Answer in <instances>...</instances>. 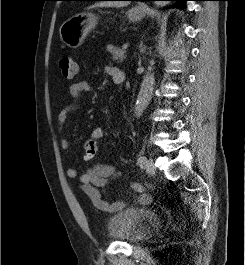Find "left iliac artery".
I'll list each match as a JSON object with an SVG mask.
<instances>
[{
	"label": "left iliac artery",
	"instance_id": "obj_1",
	"mask_svg": "<svg viewBox=\"0 0 245 265\" xmlns=\"http://www.w3.org/2000/svg\"><path fill=\"white\" fill-rule=\"evenodd\" d=\"M146 161H147L146 157L145 156H141V157L138 158L137 164L139 166H143L146 163Z\"/></svg>",
	"mask_w": 245,
	"mask_h": 265
}]
</instances>
